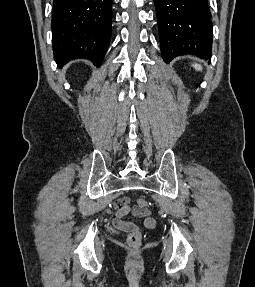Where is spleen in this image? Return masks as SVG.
<instances>
[{"mask_svg":"<svg viewBox=\"0 0 255 287\" xmlns=\"http://www.w3.org/2000/svg\"><path fill=\"white\" fill-rule=\"evenodd\" d=\"M193 68H195V70H202L201 66H199V64H193Z\"/></svg>","mask_w":255,"mask_h":287,"instance_id":"spleen-1","label":"spleen"}]
</instances>
